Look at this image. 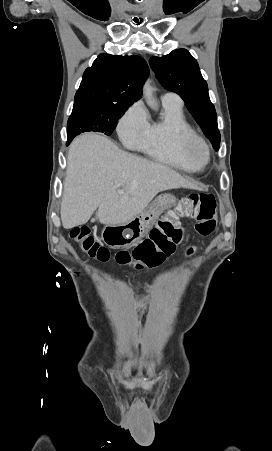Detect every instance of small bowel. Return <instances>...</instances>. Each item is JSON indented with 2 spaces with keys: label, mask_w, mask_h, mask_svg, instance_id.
<instances>
[{
  "label": "small bowel",
  "mask_w": 272,
  "mask_h": 451,
  "mask_svg": "<svg viewBox=\"0 0 272 451\" xmlns=\"http://www.w3.org/2000/svg\"><path fill=\"white\" fill-rule=\"evenodd\" d=\"M190 238H191V234H188V235L184 238V240L182 241L181 245H182L183 247H185L186 244H187V242L190 240ZM194 252H195V248H194L193 246H186V247H185V255H186L187 257H191V256L194 254ZM115 276L118 277L117 274H115Z\"/></svg>",
  "instance_id": "small-bowel-1"
}]
</instances>
